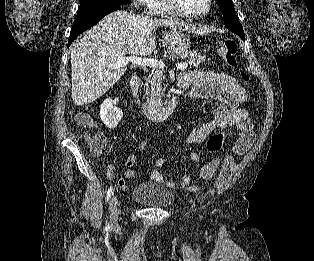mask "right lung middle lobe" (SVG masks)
<instances>
[{
	"label": "right lung middle lobe",
	"mask_w": 314,
	"mask_h": 261,
	"mask_svg": "<svg viewBox=\"0 0 314 261\" xmlns=\"http://www.w3.org/2000/svg\"><path fill=\"white\" fill-rule=\"evenodd\" d=\"M129 0H81L77 18L84 17L102 8L112 5L129 4Z\"/></svg>",
	"instance_id": "obj_1"
}]
</instances>
